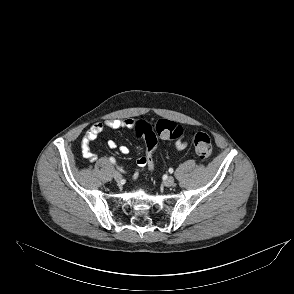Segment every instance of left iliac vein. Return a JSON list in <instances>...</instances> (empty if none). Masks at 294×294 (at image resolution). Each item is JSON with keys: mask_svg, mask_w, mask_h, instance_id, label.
I'll return each mask as SVG.
<instances>
[{"mask_svg": "<svg viewBox=\"0 0 294 294\" xmlns=\"http://www.w3.org/2000/svg\"><path fill=\"white\" fill-rule=\"evenodd\" d=\"M175 182V179L173 177H168L165 181H164V185L167 187H171Z\"/></svg>", "mask_w": 294, "mask_h": 294, "instance_id": "left-iliac-vein-1", "label": "left iliac vein"}]
</instances>
